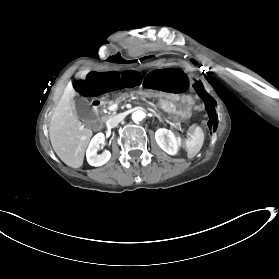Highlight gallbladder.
Returning <instances> with one entry per match:
<instances>
[{"label": "gallbladder", "mask_w": 279, "mask_h": 279, "mask_svg": "<svg viewBox=\"0 0 279 279\" xmlns=\"http://www.w3.org/2000/svg\"><path fill=\"white\" fill-rule=\"evenodd\" d=\"M75 101L79 119L92 129H99L102 126V119L95 115L92 108L89 106L88 100L78 96Z\"/></svg>", "instance_id": "gallbladder-1"}]
</instances>
